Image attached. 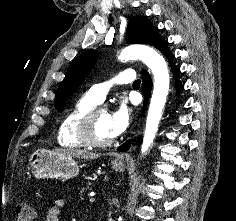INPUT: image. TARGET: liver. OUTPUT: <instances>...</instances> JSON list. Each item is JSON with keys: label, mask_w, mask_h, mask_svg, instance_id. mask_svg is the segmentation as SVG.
Returning a JSON list of instances; mask_svg holds the SVG:
<instances>
[{"label": "liver", "mask_w": 236, "mask_h": 221, "mask_svg": "<svg viewBox=\"0 0 236 221\" xmlns=\"http://www.w3.org/2000/svg\"><path fill=\"white\" fill-rule=\"evenodd\" d=\"M52 152L55 153H61L65 154L68 156L76 157L79 159H84V160H94L100 157V154L92 153V152H87L85 150H73V149H62V150H54Z\"/></svg>", "instance_id": "1"}]
</instances>
